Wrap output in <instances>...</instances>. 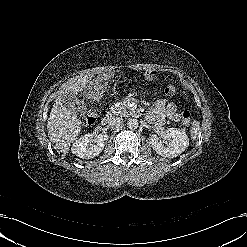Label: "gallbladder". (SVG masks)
Returning <instances> with one entry per match:
<instances>
[{"label": "gallbladder", "instance_id": "bac80fb5", "mask_svg": "<svg viewBox=\"0 0 247 247\" xmlns=\"http://www.w3.org/2000/svg\"><path fill=\"white\" fill-rule=\"evenodd\" d=\"M63 102L68 109L75 113L83 111L84 104L76 100V96L73 94V91H66L63 94ZM75 103L77 104L75 105Z\"/></svg>", "mask_w": 247, "mask_h": 247}]
</instances>
